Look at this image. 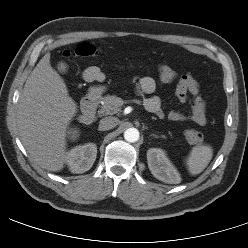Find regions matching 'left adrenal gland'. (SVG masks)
Instances as JSON below:
<instances>
[{
    "label": "left adrenal gland",
    "instance_id": "obj_1",
    "mask_svg": "<svg viewBox=\"0 0 248 248\" xmlns=\"http://www.w3.org/2000/svg\"><path fill=\"white\" fill-rule=\"evenodd\" d=\"M150 136H153V137H155V138H158V136H157V135H155V134H151Z\"/></svg>",
    "mask_w": 248,
    "mask_h": 248
}]
</instances>
